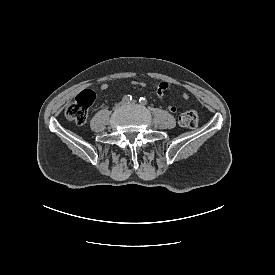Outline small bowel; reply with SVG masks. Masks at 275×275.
<instances>
[{
	"label": "small bowel",
	"instance_id": "small-bowel-1",
	"mask_svg": "<svg viewBox=\"0 0 275 275\" xmlns=\"http://www.w3.org/2000/svg\"><path fill=\"white\" fill-rule=\"evenodd\" d=\"M137 85H139L140 87H144L145 83L144 82H138ZM108 87H109L108 84L103 83L100 86V90H102V91L107 90ZM167 90H168V85L166 83H161L158 86L157 90H156L157 96L159 98H163V96L165 95V93H166ZM182 99H183V101H188L189 100V95L187 93H183L182 94ZM169 110L171 112H176L177 111V107L176 106H169Z\"/></svg>",
	"mask_w": 275,
	"mask_h": 275
}]
</instances>
